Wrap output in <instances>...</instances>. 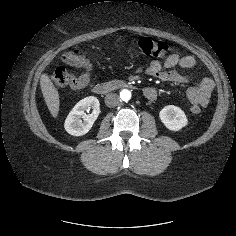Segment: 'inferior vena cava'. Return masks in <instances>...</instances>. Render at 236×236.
<instances>
[{
	"label": "inferior vena cava",
	"mask_w": 236,
	"mask_h": 236,
	"mask_svg": "<svg viewBox=\"0 0 236 236\" xmlns=\"http://www.w3.org/2000/svg\"><path fill=\"white\" fill-rule=\"evenodd\" d=\"M105 104L108 107H115L119 104V96L116 93H109L105 96Z\"/></svg>",
	"instance_id": "602c4592"
}]
</instances>
